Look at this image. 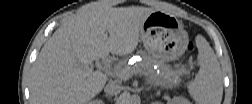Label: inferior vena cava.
Returning a JSON list of instances; mask_svg holds the SVG:
<instances>
[{
    "label": "inferior vena cava",
    "mask_w": 252,
    "mask_h": 104,
    "mask_svg": "<svg viewBox=\"0 0 252 104\" xmlns=\"http://www.w3.org/2000/svg\"><path fill=\"white\" fill-rule=\"evenodd\" d=\"M104 91L108 95H117L122 91V86L119 84L110 81L104 88Z\"/></svg>",
    "instance_id": "obj_1"
}]
</instances>
